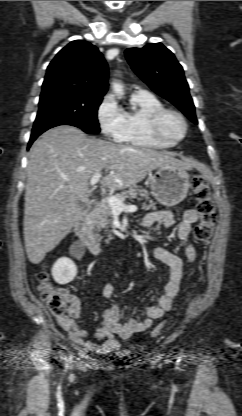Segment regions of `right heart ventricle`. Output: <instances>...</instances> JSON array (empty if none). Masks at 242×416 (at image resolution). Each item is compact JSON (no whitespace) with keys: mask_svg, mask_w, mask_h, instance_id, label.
<instances>
[{"mask_svg":"<svg viewBox=\"0 0 242 416\" xmlns=\"http://www.w3.org/2000/svg\"><path fill=\"white\" fill-rule=\"evenodd\" d=\"M131 107L123 111L125 127L119 142L142 147L167 148L171 144L159 141L149 131L150 115L164 107L163 103L152 93L137 90L131 95Z\"/></svg>","mask_w":242,"mask_h":416,"instance_id":"1","label":"right heart ventricle"}]
</instances>
